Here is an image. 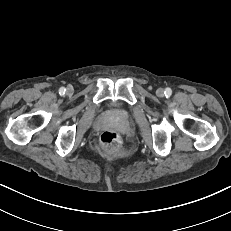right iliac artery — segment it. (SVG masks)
<instances>
[{
    "mask_svg": "<svg viewBox=\"0 0 231 231\" xmlns=\"http://www.w3.org/2000/svg\"><path fill=\"white\" fill-rule=\"evenodd\" d=\"M65 92H66V89H65L64 87H61V88L59 89V94L64 95Z\"/></svg>",
    "mask_w": 231,
    "mask_h": 231,
    "instance_id": "1",
    "label": "right iliac artery"
}]
</instances>
